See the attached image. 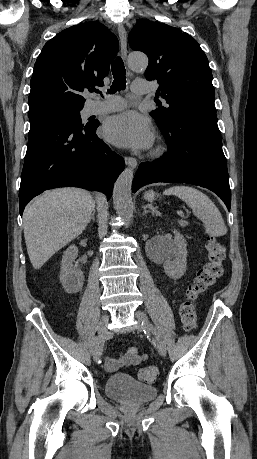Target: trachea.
<instances>
[{"instance_id":"1","label":"trachea","mask_w":257,"mask_h":459,"mask_svg":"<svg viewBox=\"0 0 257 459\" xmlns=\"http://www.w3.org/2000/svg\"><path fill=\"white\" fill-rule=\"evenodd\" d=\"M112 74L114 77V81L111 85V88L108 90L109 94H114L116 91L124 90L126 88V72L124 63L121 57H117L114 62L112 63ZM95 92H99L98 90H94Z\"/></svg>"}]
</instances>
